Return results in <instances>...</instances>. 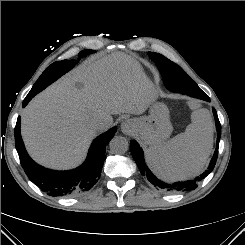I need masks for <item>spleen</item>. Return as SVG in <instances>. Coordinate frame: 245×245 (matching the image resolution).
<instances>
[{
	"label": "spleen",
	"instance_id": "3e777b00",
	"mask_svg": "<svg viewBox=\"0 0 245 245\" xmlns=\"http://www.w3.org/2000/svg\"><path fill=\"white\" fill-rule=\"evenodd\" d=\"M191 114L192 123L184 133L168 142L149 147L146 158L150 168L161 179L175 181L198 174L205 166L213 143L212 119L208 110L198 108Z\"/></svg>",
	"mask_w": 245,
	"mask_h": 245
}]
</instances>
